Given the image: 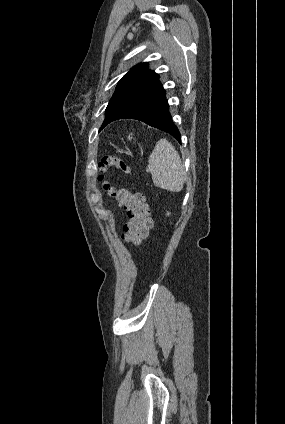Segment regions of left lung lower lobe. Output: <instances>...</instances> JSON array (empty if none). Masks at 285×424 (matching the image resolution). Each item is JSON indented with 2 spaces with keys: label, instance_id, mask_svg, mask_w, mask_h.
Listing matches in <instances>:
<instances>
[{
  "label": "left lung lower lobe",
  "instance_id": "0a47b994",
  "mask_svg": "<svg viewBox=\"0 0 285 424\" xmlns=\"http://www.w3.org/2000/svg\"><path fill=\"white\" fill-rule=\"evenodd\" d=\"M124 118L140 120L169 133L181 142L179 130L172 121L165 90L159 79L119 103L106 117L102 128L112 121Z\"/></svg>",
  "mask_w": 285,
  "mask_h": 424
}]
</instances>
